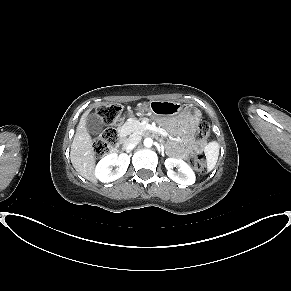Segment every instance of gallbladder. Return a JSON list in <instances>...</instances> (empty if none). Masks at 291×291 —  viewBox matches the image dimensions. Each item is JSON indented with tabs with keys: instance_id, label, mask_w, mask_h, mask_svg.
Masks as SVG:
<instances>
[{
	"instance_id": "1",
	"label": "gallbladder",
	"mask_w": 291,
	"mask_h": 291,
	"mask_svg": "<svg viewBox=\"0 0 291 291\" xmlns=\"http://www.w3.org/2000/svg\"><path fill=\"white\" fill-rule=\"evenodd\" d=\"M86 128L93 134L98 135L103 130V122L98 114L92 113L86 118Z\"/></svg>"
}]
</instances>
